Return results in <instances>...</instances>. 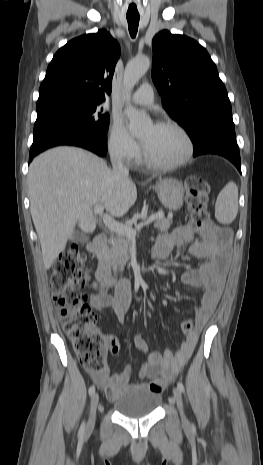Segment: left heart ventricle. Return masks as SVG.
<instances>
[{
    "label": "left heart ventricle",
    "instance_id": "left-heart-ventricle-1",
    "mask_svg": "<svg viewBox=\"0 0 263 465\" xmlns=\"http://www.w3.org/2000/svg\"><path fill=\"white\" fill-rule=\"evenodd\" d=\"M141 140L149 154L157 161L171 163L181 159L186 142L175 129L150 125L141 134Z\"/></svg>",
    "mask_w": 263,
    "mask_h": 465
}]
</instances>
